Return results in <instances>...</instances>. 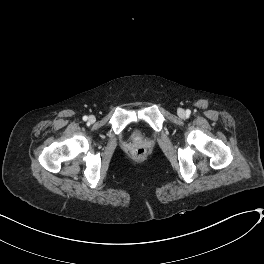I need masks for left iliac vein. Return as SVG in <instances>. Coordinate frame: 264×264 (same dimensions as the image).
<instances>
[{"label":"left iliac vein","instance_id":"1","mask_svg":"<svg viewBox=\"0 0 264 264\" xmlns=\"http://www.w3.org/2000/svg\"><path fill=\"white\" fill-rule=\"evenodd\" d=\"M178 115H179L180 117H185V111H184L183 109H179V110H178Z\"/></svg>","mask_w":264,"mask_h":264}]
</instances>
